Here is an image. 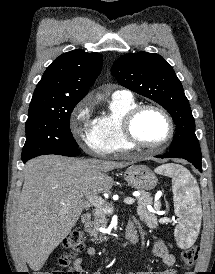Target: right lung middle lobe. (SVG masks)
<instances>
[{
    "instance_id": "dd1d6c3e",
    "label": "right lung middle lobe",
    "mask_w": 215,
    "mask_h": 274,
    "mask_svg": "<svg viewBox=\"0 0 215 274\" xmlns=\"http://www.w3.org/2000/svg\"><path fill=\"white\" fill-rule=\"evenodd\" d=\"M78 102L30 103L22 159L78 148L70 116Z\"/></svg>"
}]
</instances>
